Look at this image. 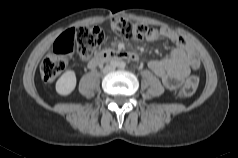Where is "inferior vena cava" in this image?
<instances>
[{"label":"inferior vena cava","mask_w":238,"mask_h":158,"mask_svg":"<svg viewBox=\"0 0 238 158\" xmlns=\"http://www.w3.org/2000/svg\"><path fill=\"white\" fill-rule=\"evenodd\" d=\"M115 69V67L113 66V65H107L104 69H103V71L105 72V73H107V72H110V71H112V70H114Z\"/></svg>","instance_id":"obj_1"}]
</instances>
